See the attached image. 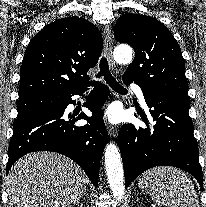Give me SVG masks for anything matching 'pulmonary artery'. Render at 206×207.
Returning a JSON list of instances; mask_svg holds the SVG:
<instances>
[{"mask_svg": "<svg viewBox=\"0 0 206 207\" xmlns=\"http://www.w3.org/2000/svg\"><path fill=\"white\" fill-rule=\"evenodd\" d=\"M133 90H134L135 94L137 95L139 101H140L143 105H145V97H144V93H143L142 89H141L139 86L134 85V86H133Z\"/></svg>", "mask_w": 206, "mask_h": 207, "instance_id": "1", "label": "pulmonary artery"}]
</instances>
